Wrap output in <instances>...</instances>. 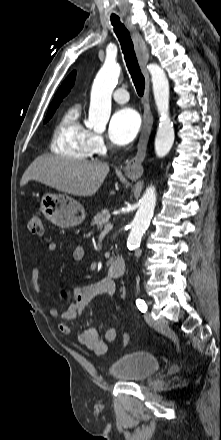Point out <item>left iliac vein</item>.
I'll use <instances>...</instances> for the list:
<instances>
[{
  "mask_svg": "<svg viewBox=\"0 0 221 440\" xmlns=\"http://www.w3.org/2000/svg\"><path fill=\"white\" fill-rule=\"evenodd\" d=\"M145 319L149 325L154 326L156 328H166L167 326V320L164 317L155 319L150 313H147L145 315Z\"/></svg>",
  "mask_w": 221,
  "mask_h": 440,
  "instance_id": "1",
  "label": "left iliac vein"
}]
</instances>
